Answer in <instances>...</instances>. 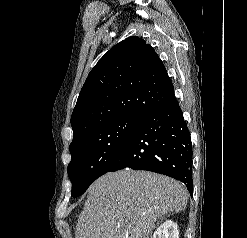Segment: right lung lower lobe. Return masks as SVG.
I'll return each instance as SVG.
<instances>
[{
	"label": "right lung lower lobe",
	"mask_w": 247,
	"mask_h": 238,
	"mask_svg": "<svg viewBox=\"0 0 247 238\" xmlns=\"http://www.w3.org/2000/svg\"><path fill=\"white\" fill-rule=\"evenodd\" d=\"M124 168L167 175L192 191V144L175 97L142 117L107 172Z\"/></svg>",
	"instance_id": "obj_1"
}]
</instances>
